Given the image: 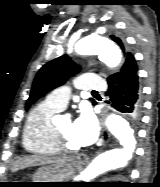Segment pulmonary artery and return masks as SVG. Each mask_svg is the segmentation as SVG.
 <instances>
[{"label": "pulmonary artery", "instance_id": "e3ab8cb5", "mask_svg": "<svg viewBox=\"0 0 160 187\" xmlns=\"http://www.w3.org/2000/svg\"><path fill=\"white\" fill-rule=\"evenodd\" d=\"M76 88L82 91H92V90H103L106 88L105 81L98 75L95 74H83L75 79ZM71 96V90L68 86H62L51 92L46 100L60 108L64 109Z\"/></svg>", "mask_w": 160, "mask_h": 187}]
</instances>
